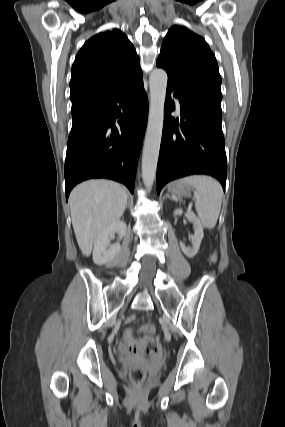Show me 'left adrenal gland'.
Returning <instances> with one entry per match:
<instances>
[{"mask_svg": "<svg viewBox=\"0 0 285 427\" xmlns=\"http://www.w3.org/2000/svg\"><path fill=\"white\" fill-rule=\"evenodd\" d=\"M164 198H170L169 194H166V196Z\"/></svg>", "mask_w": 285, "mask_h": 427, "instance_id": "obj_1", "label": "left adrenal gland"}]
</instances>
